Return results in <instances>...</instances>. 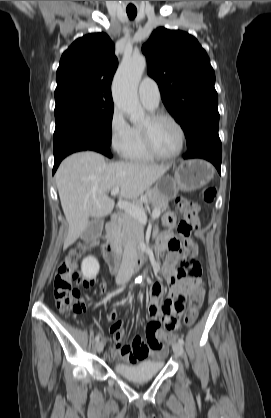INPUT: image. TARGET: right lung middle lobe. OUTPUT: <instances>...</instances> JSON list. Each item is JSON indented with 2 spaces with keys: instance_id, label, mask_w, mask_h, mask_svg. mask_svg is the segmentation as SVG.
Segmentation results:
<instances>
[{
  "instance_id": "right-lung-middle-lobe-1",
  "label": "right lung middle lobe",
  "mask_w": 271,
  "mask_h": 418,
  "mask_svg": "<svg viewBox=\"0 0 271 418\" xmlns=\"http://www.w3.org/2000/svg\"><path fill=\"white\" fill-rule=\"evenodd\" d=\"M113 108V101L75 98L56 102L54 147L93 135L111 141Z\"/></svg>"
}]
</instances>
